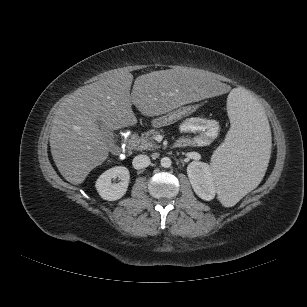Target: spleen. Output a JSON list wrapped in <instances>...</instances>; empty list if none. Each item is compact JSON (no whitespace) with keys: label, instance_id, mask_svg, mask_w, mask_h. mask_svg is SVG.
Segmentation results:
<instances>
[{"label":"spleen","instance_id":"obj_1","mask_svg":"<svg viewBox=\"0 0 307 307\" xmlns=\"http://www.w3.org/2000/svg\"><path fill=\"white\" fill-rule=\"evenodd\" d=\"M227 112L231 128L211 158V170L219 201L232 207L262 178L271 136L262 106L247 92L232 90Z\"/></svg>","mask_w":307,"mask_h":307}]
</instances>
